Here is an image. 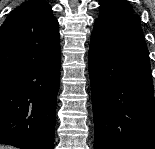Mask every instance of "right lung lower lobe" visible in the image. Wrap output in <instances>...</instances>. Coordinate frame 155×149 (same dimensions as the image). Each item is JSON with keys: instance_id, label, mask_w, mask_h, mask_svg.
Masks as SVG:
<instances>
[{"instance_id": "obj_1", "label": "right lung lower lobe", "mask_w": 155, "mask_h": 149, "mask_svg": "<svg viewBox=\"0 0 155 149\" xmlns=\"http://www.w3.org/2000/svg\"><path fill=\"white\" fill-rule=\"evenodd\" d=\"M61 56L0 82V144L53 149Z\"/></svg>"}]
</instances>
